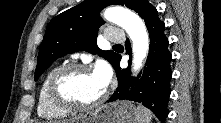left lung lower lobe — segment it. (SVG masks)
<instances>
[{"label":"left lung lower lobe","mask_w":221,"mask_h":123,"mask_svg":"<svg viewBox=\"0 0 221 123\" xmlns=\"http://www.w3.org/2000/svg\"><path fill=\"white\" fill-rule=\"evenodd\" d=\"M139 16L144 19L149 31L150 48L146 66L136 78L130 77L128 69H121V56L112 64L118 78V87L108 102L131 100L142 103L151 109L164 122L167 117L170 97L172 55L168 50V39L164 35L165 24L159 20L158 12L149 2L142 8ZM131 55L130 44L125 43ZM131 63V61H130Z\"/></svg>","instance_id":"0a47b994"}]
</instances>
